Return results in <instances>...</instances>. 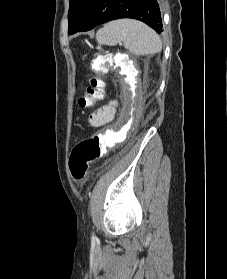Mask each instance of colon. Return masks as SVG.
Listing matches in <instances>:
<instances>
[{
	"instance_id": "5ec220e1",
	"label": "colon",
	"mask_w": 227,
	"mask_h": 279,
	"mask_svg": "<svg viewBox=\"0 0 227 279\" xmlns=\"http://www.w3.org/2000/svg\"><path fill=\"white\" fill-rule=\"evenodd\" d=\"M89 68L92 75L84 94L78 101L82 108L92 106L95 100L103 99L105 96L104 74L106 67L104 57L92 59ZM115 134L113 130H101L74 146L69 159V168L73 179L81 181L85 178L89 164L107 153L108 148L115 140Z\"/></svg>"
}]
</instances>
